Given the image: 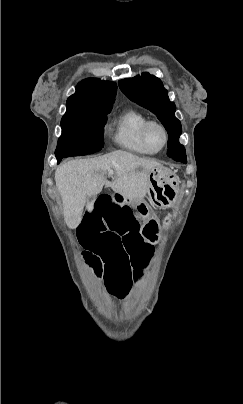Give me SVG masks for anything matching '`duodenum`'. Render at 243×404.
Returning <instances> with one entry per match:
<instances>
[{"label": "duodenum", "mask_w": 243, "mask_h": 404, "mask_svg": "<svg viewBox=\"0 0 243 404\" xmlns=\"http://www.w3.org/2000/svg\"><path fill=\"white\" fill-rule=\"evenodd\" d=\"M114 194L119 202L131 204L132 200L123 191H115Z\"/></svg>", "instance_id": "410a0bca"}]
</instances>
